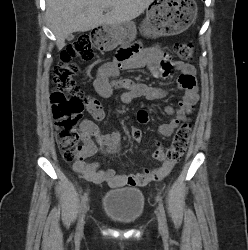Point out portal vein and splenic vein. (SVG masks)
<instances>
[{
  "mask_svg": "<svg viewBox=\"0 0 248 250\" xmlns=\"http://www.w3.org/2000/svg\"><path fill=\"white\" fill-rule=\"evenodd\" d=\"M106 12H107L106 14H108V13H109V11H108V10H106Z\"/></svg>",
  "mask_w": 248,
  "mask_h": 250,
  "instance_id": "1",
  "label": "portal vein and splenic vein"
}]
</instances>
